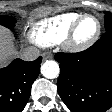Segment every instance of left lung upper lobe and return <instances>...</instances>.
<instances>
[{
  "instance_id": "left-lung-upper-lobe-1",
  "label": "left lung upper lobe",
  "mask_w": 112,
  "mask_h": 112,
  "mask_svg": "<svg viewBox=\"0 0 112 112\" xmlns=\"http://www.w3.org/2000/svg\"><path fill=\"white\" fill-rule=\"evenodd\" d=\"M105 30L109 31L112 30V13L106 11L105 12Z\"/></svg>"
}]
</instances>
